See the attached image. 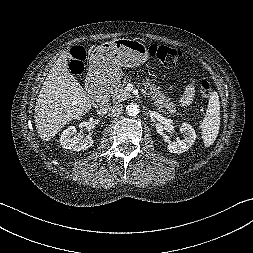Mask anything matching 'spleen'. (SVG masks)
Instances as JSON below:
<instances>
[{
  "label": "spleen",
  "instance_id": "obj_1",
  "mask_svg": "<svg viewBox=\"0 0 253 253\" xmlns=\"http://www.w3.org/2000/svg\"><path fill=\"white\" fill-rule=\"evenodd\" d=\"M220 128V102L217 92H212L209 97L206 116L202 126V139L206 147L211 146L216 140Z\"/></svg>",
  "mask_w": 253,
  "mask_h": 253
}]
</instances>
